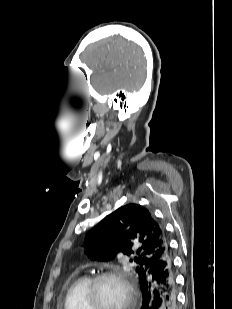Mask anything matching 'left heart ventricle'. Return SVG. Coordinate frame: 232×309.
I'll return each instance as SVG.
<instances>
[{"mask_svg": "<svg viewBox=\"0 0 232 309\" xmlns=\"http://www.w3.org/2000/svg\"><path fill=\"white\" fill-rule=\"evenodd\" d=\"M126 300V290L121 282L107 279L98 287L99 309H121Z\"/></svg>", "mask_w": 232, "mask_h": 309, "instance_id": "1", "label": "left heart ventricle"}]
</instances>
